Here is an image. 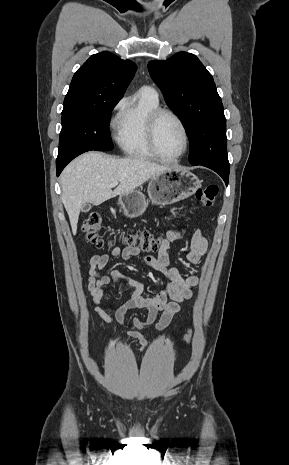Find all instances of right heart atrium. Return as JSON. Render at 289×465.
<instances>
[{
    "instance_id": "obj_1",
    "label": "right heart atrium",
    "mask_w": 289,
    "mask_h": 465,
    "mask_svg": "<svg viewBox=\"0 0 289 465\" xmlns=\"http://www.w3.org/2000/svg\"><path fill=\"white\" fill-rule=\"evenodd\" d=\"M125 103H126V99L124 98V99L120 100V101L117 103V105H116L115 108H116V109L121 108V107H123V106L125 105Z\"/></svg>"
}]
</instances>
